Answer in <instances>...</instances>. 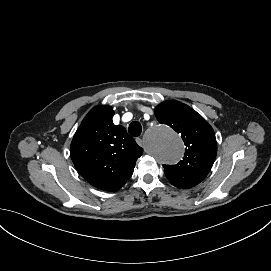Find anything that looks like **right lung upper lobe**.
<instances>
[{
    "instance_id": "right-lung-upper-lobe-1",
    "label": "right lung upper lobe",
    "mask_w": 271,
    "mask_h": 271,
    "mask_svg": "<svg viewBox=\"0 0 271 271\" xmlns=\"http://www.w3.org/2000/svg\"><path fill=\"white\" fill-rule=\"evenodd\" d=\"M112 107L93 108L71 143V158L83 178L105 191L119 190L132 176L143 149L126 129L112 122Z\"/></svg>"
}]
</instances>
